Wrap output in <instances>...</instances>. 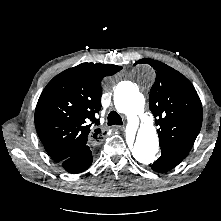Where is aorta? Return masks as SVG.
<instances>
[{"label":"aorta","mask_w":221,"mask_h":221,"mask_svg":"<svg viewBox=\"0 0 221 221\" xmlns=\"http://www.w3.org/2000/svg\"><path fill=\"white\" fill-rule=\"evenodd\" d=\"M138 74L144 78H153V70L147 66H140ZM145 99L138 88L131 82H124L114 92V105L119 113L130 118L142 115ZM159 151V139L152 117H146L137 132L136 140L132 148V154L136 160L148 164L154 161Z\"/></svg>","instance_id":"1"}]
</instances>
